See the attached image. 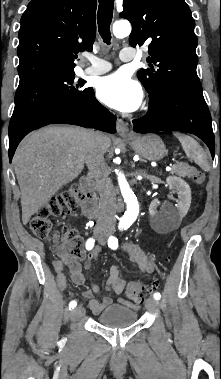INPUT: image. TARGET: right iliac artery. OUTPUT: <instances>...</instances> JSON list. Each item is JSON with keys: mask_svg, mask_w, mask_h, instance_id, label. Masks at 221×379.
<instances>
[{"mask_svg": "<svg viewBox=\"0 0 221 379\" xmlns=\"http://www.w3.org/2000/svg\"><path fill=\"white\" fill-rule=\"evenodd\" d=\"M95 245V240L93 238H89L87 241H86V249L87 250H91L93 249ZM77 306V301L76 300H72L70 303H69V309H74L75 307Z\"/></svg>", "mask_w": 221, "mask_h": 379, "instance_id": "82829eb1", "label": "right iliac artery"}]
</instances>
